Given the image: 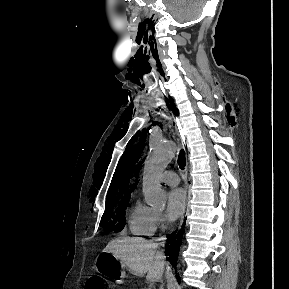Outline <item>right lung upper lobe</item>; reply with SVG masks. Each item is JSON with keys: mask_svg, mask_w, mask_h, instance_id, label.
Instances as JSON below:
<instances>
[{"mask_svg": "<svg viewBox=\"0 0 289 289\" xmlns=\"http://www.w3.org/2000/svg\"><path fill=\"white\" fill-rule=\"evenodd\" d=\"M119 197H121V194H118V196L115 197V198H116V199H115V202L118 201ZM128 200H129V195H127V196L124 198V200H123L122 202H124V201H128ZM114 204H115V203H114Z\"/></svg>", "mask_w": 289, "mask_h": 289, "instance_id": "1", "label": "right lung upper lobe"}]
</instances>
